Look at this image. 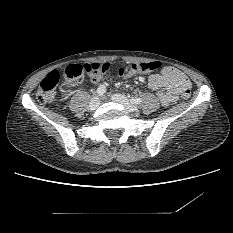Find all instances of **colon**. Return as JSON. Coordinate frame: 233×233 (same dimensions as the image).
<instances>
[{
    "label": "colon",
    "instance_id": "1",
    "mask_svg": "<svg viewBox=\"0 0 233 233\" xmlns=\"http://www.w3.org/2000/svg\"><path fill=\"white\" fill-rule=\"evenodd\" d=\"M161 69V63L157 61L134 63L130 66L128 71L121 70L122 74L127 75L129 71L133 72H156ZM114 68L110 65H98V64H72L66 68V74L70 78L82 80L83 74L101 76L104 74H112ZM60 81V73L58 71L50 72L40 83L36 98L41 104L51 103L55 97V89ZM191 92L188 88H185L182 92L184 99H189Z\"/></svg>",
    "mask_w": 233,
    "mask_h": 233
}]
</instances>
